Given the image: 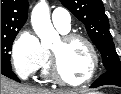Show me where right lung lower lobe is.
<instances>
[{
	"label": "right lung lower lobe",
	"mask_w": 121,
	"mask_h": 94,
	"mask_svg": "<svg viewBox=\"0 0 121 94\" xmlns=\"http://www.w3.org/2000/svg\"><path fill=\"white\" fill-rule=\"evenodd\" d=\"M1 74L5 75L17 82H20V80L17 78V76L12 72V70H7V69H1Z\"/></svg>",
	"instance_id": "right-lung-lower-lobe-1"
}]
</instances>
